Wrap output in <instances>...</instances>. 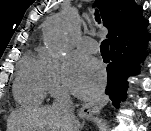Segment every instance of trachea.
<instances>
[{"label":"trachea","mask_w":151,"mask_h":131,"mask_svg":"<svg viewBox=\"0 0 151 131\" xmlns=\"http://www.w3.org/2000/svg\"><path fill=\"white\" fill-rule=\"evenodd\" d=\"M95 18H96V21L100 20L99 14L97 11L95 13ZM100 51H101V55L103 57V60L104 61H110V52H109L108 40L102 41L101 46H100Z\"/></svg>","instance_id":"3493384b"}]
</instances>
